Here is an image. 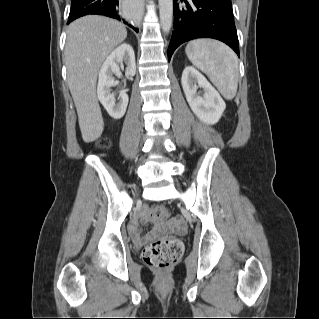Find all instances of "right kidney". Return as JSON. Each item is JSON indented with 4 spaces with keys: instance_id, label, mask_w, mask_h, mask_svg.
Returning a JSON list of instances; mask_svg holds the SVG:
<instances>
[{
    "instance_id": "right-kidney-1",
    "label": "right kidney",
    "mask_w": 319,
    "mask_h": 319,
    "mask_svg": "<svg viewBox=\"0 0 319 319\" xmlns=\"http://www.w3.org/2000/svg\"><path fill=\"white\" fill-rule=\"evenodd\" d=\"M123 63L126 65V77H132L136 73L135 54L133 48L126 43L121 44L104 61L98 79L97 95L98 99L108 114L114 119H120L124 116L128 105V95L123 90L119 93L118 101L111 93V87L115 84L113 75L120 74V66L123 69Z\"/></svg>"
}]
</instances>
